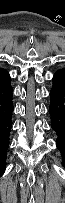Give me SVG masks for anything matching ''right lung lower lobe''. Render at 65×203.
Instances as JSON below:
<instances>
[{"instance_id": "1", "label": "right lung lower lobe", "mask_w": 65, "mask_h": 203, "mask_svg": "<svg viewBox=\"0 0 65 203\" xmlns=\"http://www.w3.org/2000/svg\"><path fill=\"white\" fill-rule=\"evenodd\" d=\"M12 86L6 70L0 69V176L6 168V153L12 126Z\"/></svg>"}]
</instances>
